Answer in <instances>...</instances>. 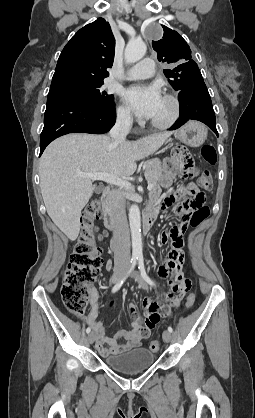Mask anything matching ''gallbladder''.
<instances>
[{
    "label": "gallbladder",
    "instance_id": "obj_1",
    "mask_svg": "<svg viewBox=\"0 0 255 418\" xmlns=\"http://www.w3.org/2000/svg\"><path fill=\"white\" fill-rule=\"evenodd\" d=\"M101 191H102V188L101 187H96L95 188V193H101Z\"/></svg>",
    "mask_w": 255,
    "mask_h": 418
}]
</instances>
